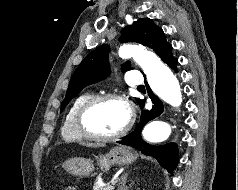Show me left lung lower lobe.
<instances>
[{"mask_svg": "<svg viewBox=\"0 0 238 190\" xmlns=\"http://www.w3.org/2000/svg\"><path fill=\"white\" fill-rule=\"evenodd\" d=\"M163 62L170 66L175 72H177L178 60L173 57L172 52L163 59ZM149 96L154 103L152 109L142 110L140 122L135 130L121 141H118V143L131 146L135 149L141 150L145 155H151L155 157L165 168L172 172L178 162L176 145L174 143H169L164 146L154 147L141 138V130L145 124L158 117L163 112V103L160 101V99L152 93H149ZM138 104L140 105L141 109H143L144 101L140 100Z\"/></svg>", "mask_w": 238, "mask_h": 190, "instance_id": "0a47b994", "label": "left lung lower lobe"}]
</instances>
